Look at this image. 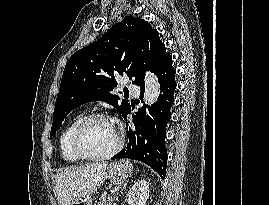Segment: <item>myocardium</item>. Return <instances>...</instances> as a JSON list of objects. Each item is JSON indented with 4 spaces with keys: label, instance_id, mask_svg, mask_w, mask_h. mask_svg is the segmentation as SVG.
Here are the masks:
<instances>
[{
    "label": "myocardium",
    "instance_id": "1",
    "mask_svg": "<svg viewBox=\"0 0 269 205\" xmlns=\"http://www.w3.org/2000/svg\"><path fill=\"white\" fill-rule=\"evenodd\" d=\"M98 120H106L113 123V125L116 128L117 141H116L115 146L110 151L104 154L92 155V154L86 153L83 150L81 146V138L86 128L90 124ZM123 143H124V137L118 123L113 117H111L110 115L106 113H95V114L85 117L74 130L72 139H71L72 149L76 153V155L82 160H92V161L105 160V159H109L115 156L121 150Z\"/></svg>",
    "mask_w": 269,
    "mask_h": 205
}]
</instances>
